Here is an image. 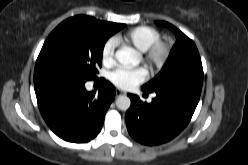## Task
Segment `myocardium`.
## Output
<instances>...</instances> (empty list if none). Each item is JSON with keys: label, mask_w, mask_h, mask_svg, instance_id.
<instances>
[{"label": "myocardium", "mask_w": 248, "mask_h": 165, "mask_svg": "<svg viewBox=\"0 0 248 165\" xmlns=\"http://www.w3.org/2000/svg\"><path fill=\"white\" fill-rule=\"evenodd\" d=\"M171 45L162 40L154 42L145 52H143L144 61L153 69L162 68L171 55Z\"/></svg>", "instance_id": "f54148a6"}]
</instances>
